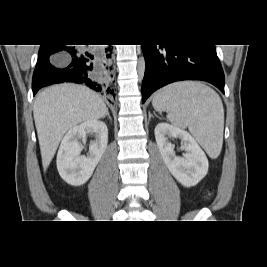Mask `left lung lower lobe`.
<instances>
[{"mask_svg":"<svg viewBox=\"0 0 267 267\" xmlns=\"http://www.w3.org/2000/svg\"><path fill=\"white\" fill-rule=\"evenodd\" d=\"M145 74L142 102L157 89L181 80H204L224 93V73L215 45H142Z\"/></svg>","mask_w":267,"mask_h":267,"instance_id":"left-lung-lower-lobe-1","label":"left lung lower lobe"}]
</instances>
